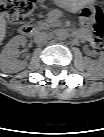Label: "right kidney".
Masks as SVG:
<instances>
[{"label": "right kidney", "mask_w": 104, "mask_h": 137, "mask_svg": "<svg viewBox=\"0 0 104 137\" xmlns=\"http://www.w3.org/2000/svg\"><path fill=\"white\" fill-rule=\"evenodd\" d=\"M27 40L24 36L13 37L0 53V69L4 73H17L25 67V62L16 60L19 46H24Z\"/></svg>", "instance_id": "obj_1"}]
</instances>
